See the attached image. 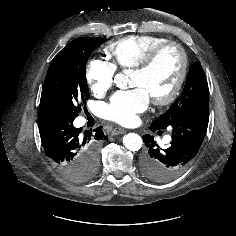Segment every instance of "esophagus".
<instances>
[{
	"label": "esophagus",
	"instance_id": "esophagus-1",
	"mask_svg": "<svg viewBox=\"0 0 236 236\" xmlns=\"http://www.w3.org/2000/svg\"><path fill=\"white\" fill-rule=\"evenodd\" d=\"M126 132L125 129L121 128V127H116L113 129L112 134L113 135H119V134H124Z\"/></svg>",
	"mask_w": 236,
	"mask_h": 236
}]
</instances>
